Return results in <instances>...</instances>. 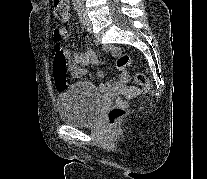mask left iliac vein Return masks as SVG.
Returning <instances> with one entry per match:
<instances>
[{
	"instance_id": "1",
	"label": "left iliac vein",
	"mask_w": 207,
	"mask_h": 179,
	"mask_svg": "<svg viewBox=\"0 0 207 179\" xmlns=\"http://www.w3.org/2000/svg\"><path fill=\"white\" fill-rule=\"evenodd\" d=\"M85 18H86V25H87V31L89 32V33H92V25H91V21H90V19L85 15Z\"/></svg>"
}]
</instances>
